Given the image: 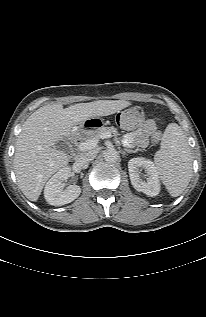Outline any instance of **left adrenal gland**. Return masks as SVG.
Returning a JSON list of instances; mask_svg holds the SVG:
<instances>
[{"mask_svg":"<svg viewBox=\"0 0 206 317\" xmlns=\"http://www.w3.org/2000/svg\"><path fill=\"white\" fill-rule=\"evenodd\" d=\"M127 152V153H136L137 150H131V149H124L123 154Z\"/></svg>","mask_w":206,"mask_h":317,"instance_id":"left-adrenal-gland-1","label":"left adrenal gland"}]
</instances>
